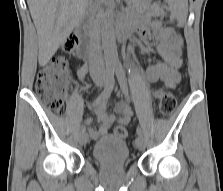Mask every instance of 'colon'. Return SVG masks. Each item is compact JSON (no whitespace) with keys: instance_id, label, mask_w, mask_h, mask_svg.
<instances>
[{"instance_id":"5ec220e1","label":"colon","mask_w":223,"mask_h":191,"mask_svg":"<svg viewBox=\"0 0 223 191\" xmlns=\"http://www.w3.org/2000/svg\"><path fill=\"white\" fill-rule=\"evenodd\" d=\"M165 22L171 24L172 20L165 17ZM78 45V37L70 35L63 44V50L72 52ZM69 76L68 62L64 57H54L37 74L35 91L45 105L58 114L66 111V86ZM176 98L168 93L161 97L158 105V114L161 117L171 115L176 109ZM115 135L126 138L128 131L124 126L115 129Z\"/></svg>"}]
</instances>
